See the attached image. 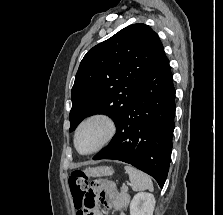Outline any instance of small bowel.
<instances>
[{
	"instance_id": "1",
	"label": "small bowel",
	"mask_w": 223,
	"mask_h": 215,
	"mask_svg": "<svg viewBox=\"0 0 223 215\" xmlns=\"http://www.w3.org/2000/svg\"><path fill=\"white\" fill-rule=\"evenodd\" d=\"M130 201L127 193L119 192L116 185L107 180H95L86 190L84 202L92 205L94 210L91 215H101L97 208V203H101L108 208L115 210L116 215H125L124 209ZM83 215V214H82Z\"/></svg>"
}]
</instances>
